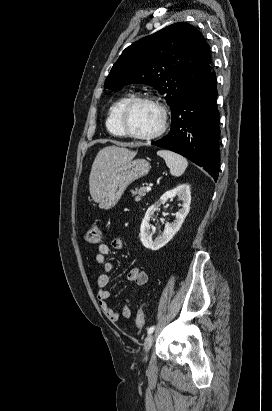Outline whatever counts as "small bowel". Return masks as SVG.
<instances>
[{"label":"small bowel","instance_id":"1","mask_svg":"<svg viewBox=\"0 0 272 411\" xmlns=\"http://www.w3.org/2000/svg\"><path fill=\"white\" fill-rule=\"evenodd\" d=\"M111 248L115 250L122 249L123 241L119 238H116L112 241L111 246L105 243H102L98 246L96 261L103 266V272L99 275L97 280V297L101 310L109 320L115 322L119 319L120 315H122V317L124 318H129L131 316V309L129 307V300H126L125 304L122 307L121 313H119L115 308L111 307L108 303V300L111 296V293L108 289V286L110 284V274L114 269V262L109 258ZM127 278L133 284L141 286L145 285L149 281V274L147 273V271L140 267H134L128 272Z\"/></svg>","mask_w":272,"mask_h":411}]
</instances>
